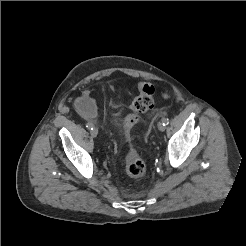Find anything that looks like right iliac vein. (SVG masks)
<instances>
[{
    "label": "right iliac vein",
    "mask_w": 246,
    "mask_h": 246,
    "mask_svg": "<svg viewBox=\"0 0 246 246\" xmlns=\"http://www.w3.org/2000/svg\"><path fill=\"white\" fill-rule=\"evenodd\" d=\"M97 134H98V130H97L96 128H94V129L91 131V135H92L93 137H96Z\"/></svg>",
    "instance_id": "obj_1"
}]
</instances>
